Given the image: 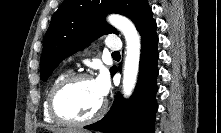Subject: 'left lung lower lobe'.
Segmentation results:
<instances>
[{
    "instance_id": "0a47b994",
    "label": "left lung lower lobe",
    "mask_w": 221,
    "mask_h": 133,
    "mask_svg": "<svg viewBox=\"0 0 221 133\" xmlns=\"http://www.w3.org/2000/svg\"><path fill=\"white\" fill-rule=\"evenodd\" d=\"M141 60L139 78L130 99L125 100L117 94L110 111L100 121L85 126V129L104 133H153L155 114L157 111L156 78L158 76L157 51L158 37L156 22L153 20L140 31ZM120 69V68H119ZM117 68L113 67L111 74Z\"/></svg>"
}]
</instances>
